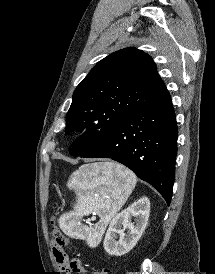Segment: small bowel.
Segmentation results:
<instances>
[{
    "mask_svg": "<svg viewBox=\"0 0 215 274\" xmlns=\"http://www.w3.org/2000/svg\"><path fill=\"white\" fill-rule=\"evenodd\" d=\"M53 254L59 268L65 272L73 274H85L86 270L84 267V262L79 259L71 260L69 256L63 250V247L54 243ZM93 274H101L100 272H94Z\"/></svg>",
    "mask_w": 215,
    "mask_h": 274,
    "instance_id": "1",
    "label": "small bowel"
}]
</instances>
